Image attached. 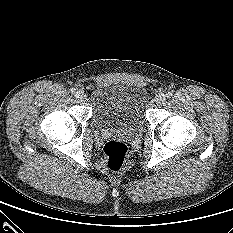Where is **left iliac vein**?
I'll return each instance as SVG.
<instances>
[{
  "mask_svg": "<svg viewBox=\"0 0 233 233\" xmlns=\"http://www.w3.org/2000/svg\"><path fill=\"white\" fill-rule=\"evenodd\" d=\"M156 101L158 104L162 105L166 102V95L165 94H159L156 98Z\"/></svg>",
  "mask_w": 233,
  "mask_h": 233,
  "instance_id": "obj_1",
  "label": "left iliac vein"
}]
</instances>
